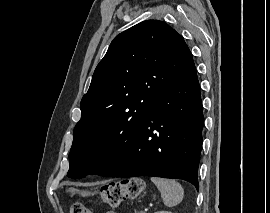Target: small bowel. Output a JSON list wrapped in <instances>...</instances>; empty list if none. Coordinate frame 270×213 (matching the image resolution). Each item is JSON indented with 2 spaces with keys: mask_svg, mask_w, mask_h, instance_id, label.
Wrapping results in <instances>:
<instances>
[{
  "mask_svg": "<svg viewBox=\"0 0 270 213\" xmlns=\"http://www.w3.org/2000/svg\"><path fill=\"white\" fill-rule=\"evenodd\" d=\"M107 213H114V212H112V211H109V212H107Z\"/></svg>",
  "mask_w": 270,
  "mask_h": 213,
  "instance_id": "1",
  "label": "small bowel"
}]
</instances>
